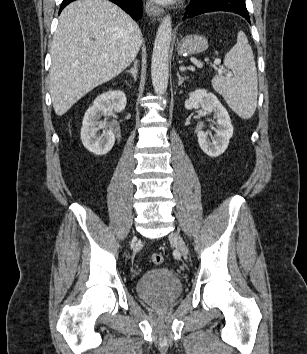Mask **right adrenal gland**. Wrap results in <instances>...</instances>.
Segmentation results:
<instances>
[{"label":"right adrenal gland","instance_id":"1","mask_svg":"<svg viewBox=\"0 0 307 354\" xmlns=\"http://www.w3.org/2000/svg\"><path fill=\"white\" fill-rule=\"evenodd\" d=\"M138 60L134 61V66L130 70H127L126 73H129L133 76L134 81L137 80V75H138Z\"/></svg>","mask_w":307,"mask_h":354}]
</instances>
